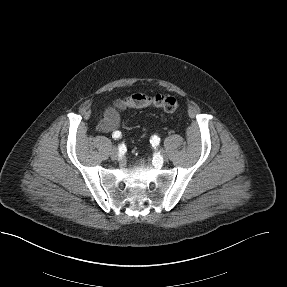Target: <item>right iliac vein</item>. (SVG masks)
<instances>
[{"mask_svg": "<svg viewBox=\"0 0 287 287\" xmlns=\"http://www.w3.org/2000/svg\"><path fill=\"white\" fill-rule=\"evenodd\" d=\"M110 157L113 159V160H116L119 158V151L116 147H113L111 149V152H110Z\"/></svg>", "mask_w": 287, "mask_h": 287, "instance_id": "63e3f726", "label": "right iliac vein"}]
</instances>
